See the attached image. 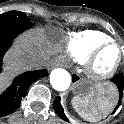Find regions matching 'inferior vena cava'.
<instances>
[{
    "label": "inferior vena cava",
    "mask_w": 124,
    "mask_h": 124,
    "mask_svg": "<svg viewBox=\"0 0 124 124\" xmlns=\"http://www.w3.org/2000/svg\"><path fill=\"white\" fill-rule=\"evenodd\" d=\"M29 62H30L31 64H33V65H38V64L42 63L43 60H42L41 58H39L38 56H31V57L29 58Z\"/></svg>",
    "instance_id": "1"
}]
</instances>
